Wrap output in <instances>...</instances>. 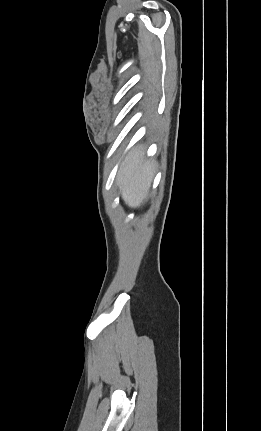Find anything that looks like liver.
Segmentation results:
<instances>
[{"instance_id":"1","label":"liver","mask_w":261,"mask_h":431,"mask_svg":"<svg viewBox=\"0 0 261 431\" xmlns=\"http://www.w3.org/2000/svg\"><path fill=\"white\" fill-rule=\"evenodd\" d=\"M154 170L155 163L144 160L141 147L126 156L118 172L117 185L129 207L137 208L147 200Z\"/></svg>"}]
</instances>
